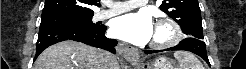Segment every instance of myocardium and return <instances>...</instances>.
<instances>
[{"label":"myocardium","mask_w":246,"mask_h":69,"mask_svg":"<svg viewBox=\"0 0 246 69\" xmlns=\"http://www.w3.org/2000/svg\"><path fill=\"white\" fill-rule=\"evenodd\" d=\"M156 28H165L168 31V37L164 40H153L150 46L154 49H164L176 45L182 38V32L178 23L170 18L163 17L156 23Z\"/></svg>","instance_id":"myocardium-1"}]
</instances>
